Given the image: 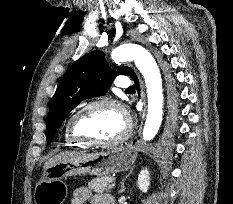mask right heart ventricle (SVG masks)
Returning <instances> with one entry per match:
<instances>
[{
    "label": "right heart ventricle",
    "mask_w": 233,
    "mask_h": 204,
    "mask_svg": "<svg viewBox=\"0 0 233 204\" xmlns=\"http://www.w3.org/2000/svg\"><path fill=\"white\" fill-rule=\"evenodd\" d=\"M68 125H69V121H68V123L65 127V131H64V141H65L66 145L69 147H78V148L85 147L86 145L84 143L74 139L70 135Z\"/></svg>",
    "instance_id": "right-heart-ventricle-1"
}]
</instances>
